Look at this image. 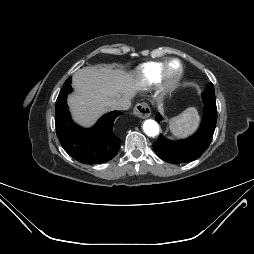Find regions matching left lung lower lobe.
Wrapping results in <instances>:
<instances>
[{"instance_id":"0a47b994","label":"left lung lower lobe","mask_w":254,"mask_h":254,"mask_svg":"<svg viewBox=\"0 0 254 254\" xmlns=\"http://www.w3.org/2000/svg\"><path fill=\"white\" fill-rule=\"evenodd\" d=\"M202 99L204 116L198 132L177 142H172L160 135L158 141L153 144L154 151L162 160L173 164L191 162L199 158L210 145L217 120L215 91L205 90ZM156 120L160 122L162 117L158 115Z\"/></svg>"}]
</instances>
